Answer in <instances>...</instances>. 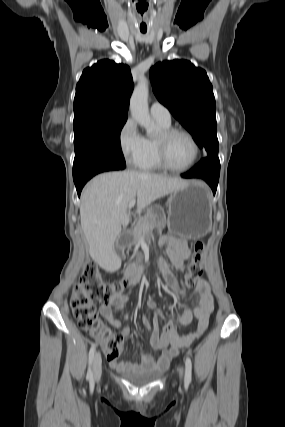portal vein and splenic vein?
<instances>
[{
  "label": "portal vein and splenic vein",
  "instance_id": "obj_1",
  "mask_svg": "<svg viewBox=\"0 0 285 427\" xmlns=\"http://www.w3.org/2000/svg\"><path fill=\"white\" fill-rule=\"evenodd\" d=\"M135 203H136V199L134 198V199H132L131 201H130V203H129V205H128V208L130 209V208H132L134 205H135Z\"/></svg>",
  "mask_w": 285,
  "mask_h": 427
}]
</instances>
